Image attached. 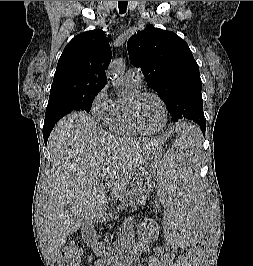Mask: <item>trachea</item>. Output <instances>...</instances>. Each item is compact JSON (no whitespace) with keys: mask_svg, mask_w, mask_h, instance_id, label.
I'll use <instances>...</instances> for the list:
<instances>
[{"mask_svg":"<svg viewBox=\"0 0 253 266\" xmlns=\"http://www.w3.org/2000/svg\"><path fill=\"white\" fill-rule=\"evenodd\" d=\"M128 5V1H118V7L120 14H124L126 12Z\"/></svg>","mask_w":253,"mask_h":266,"instance_id":"1","label":"trachea"}]
</instances>
